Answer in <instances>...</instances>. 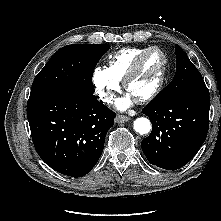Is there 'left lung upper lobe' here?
I'll use <instances>...</instances> for the list:
<instances>
[{
	"instance_id": "1",
	"label": "left lung upper lobe",
	"mask_w": 221,
	"mask_h": 221,
	"mask_svg": "<svg viewBox=\"0 0 221 221\" xmlns=\"http://www.w3.org/2000/svg\"><path fill=\"white\" fill-rule=\"evenodd\" d=\"M176 73L173 80L152 100L159 101L185 95L209 96L204 80L185 52L175 45Z\"/></svg>"
}]
</instances>
